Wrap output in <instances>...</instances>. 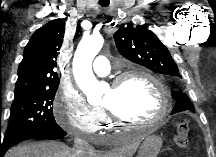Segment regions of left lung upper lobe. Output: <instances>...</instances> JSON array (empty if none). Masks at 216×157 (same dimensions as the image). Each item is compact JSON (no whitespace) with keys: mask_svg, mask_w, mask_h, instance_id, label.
<instances>
[{"mask_svg":"<svg viewBox=\"0 0 216 157\" xmlns=\"http://www.w3.org/2000/svg\"><path fill=\"white\" fill-rule=\"evenodd\" d=\"M114 40L119 53L128 60L155 73L181 77L177 64L159 38L145 26H127L118 29ZM176 104L186 105L194 112L190 99L181 92H174Z\"/></svg>","mask_w":216,"mask_h":157,"instance_id":"obj_1","label":"left lung upper lobe"}]
</instances>
